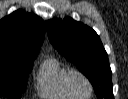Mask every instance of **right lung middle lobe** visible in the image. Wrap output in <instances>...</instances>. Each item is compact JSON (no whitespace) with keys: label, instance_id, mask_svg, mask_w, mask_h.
<instances>
[{"label":"right lung middle lobe","instance_id":"right-lung-middle-lobe-1","mask_svg":"<svg viewBox=\"0 0 128 99\" xmlns=\"http://www.w3.org/2000/svg\"><path fill=\"white\" fill-rule=\"evenodd\" d=\"M35 58L36 55L0 54V96L21 98Z\"/></svg>","mask_w":128,"mask_h":99}]
</instances>
